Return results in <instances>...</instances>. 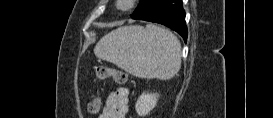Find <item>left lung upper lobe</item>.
Wrapping results in <instances>:
<instances>
[{"label": "left lung upper lobe", "instance_id": "5c2ea615", "mask_svg": "<svg viewBox=\"0 0 273 118\" xmlns=\"http://www.w3.org/2000/svg\"><path fill=\"white\" fill-rule=\"evenodd\" d=\"M165 0H140V3L134 13L131 15L133 19H142L145 16L156 11Z\"/></svg>", "mask_w": 273, "mask_h": 118}]
</instances>
